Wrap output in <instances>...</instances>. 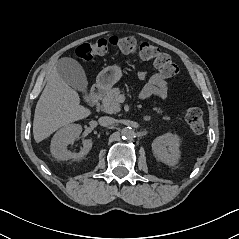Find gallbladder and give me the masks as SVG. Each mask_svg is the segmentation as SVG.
<instances>
[{"mask_svg":"<svg viewBox=\"0 0 239 239\" xmlns=\"http://www.w3.org/2000/svg\"><path fill=\"white\" fill-rule=\"evenodd\" d=\"M55 67L61 78L74 89L84 93V98L88 101L87 78L82 66L76 60L64 57L57 61Z\"/></svg>","mask_w":239,"mask_h":239,"instance_id":"gallbladder-1","label":"gallbladder"}]
</instances>
